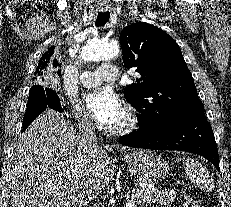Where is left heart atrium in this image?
<instances>
[{
  "label": "left heart atrium",
  "instance_id": "39dd6f15",
  "mask_svg": "<svg viewBox=\"0 0 231 207\" xmlns=\"http://www.w3.org/2000/svg\"><path fill=\"white\" fill-rule=\"evenodd\" d=\"M84 101L91 115L102 125L110 126L124 112L120 97L112 90L102 89L90 93Z\"/></svg>",
  "mask_w": 231,
  "mask_h": 207
}]
</instances>
